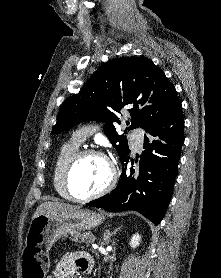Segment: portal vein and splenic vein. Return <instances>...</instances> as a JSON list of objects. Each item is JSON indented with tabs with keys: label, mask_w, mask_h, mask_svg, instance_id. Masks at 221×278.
I'll list each match as a JSON object with an SVG mask.
<instances>
[{
	"label": "portal vein and splenic vein",
	"mask_w": 221,
	"mask_h": 278,
	"mask_svg": "<svg viewBox=\"0 0 221 278\" xmlns=\"http://www.w3.org/2000/svg\"><path fill=\"white\" fill-rule=\"evenodd\" d=\"M98 246L97 245H94V248H97Z\"/></svg>",
	"instance_id": "18ae733b"
}]
</instances>
